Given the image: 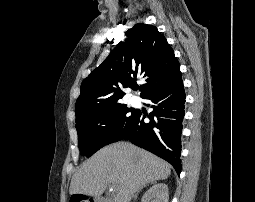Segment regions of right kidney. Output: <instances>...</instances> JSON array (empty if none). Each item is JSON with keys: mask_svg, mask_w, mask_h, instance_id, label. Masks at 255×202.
<instances>
[{"mask_svg": "<svg viewBox=\"0 0 255 202\" xmlns=\"http://www.w3.org/2000/svg\"><path fill=\"white\" fill-rule=\"evenodd\" d=\"M168 186L165 183L153 185L142 197V202H168Z\"/></svg>", "mask_w": 255, "mask_h": 202, "instance_id": "ca27d5eb", "label": "right kidney"}]
</instances>
